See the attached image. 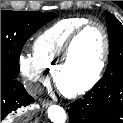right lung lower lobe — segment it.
<instances>
[{
  "mask_svg": "<svg viewBox=\"0 0 123 123\" xmlns=\"http://www.w3.org/2000/svg\"><path fill=\"white\" fill-rule=\"evenodd\" d=\"M34 99L26 92L23 85L17 80L1 78V121L10 113L32 103Z\"/></svg>",
  "mask_w": 123,
  "mask_h": 123,
  "instance_id": "right-lung-lower-lobe-1",
  "label": "right lung lower lobe"
}]
</instances>
